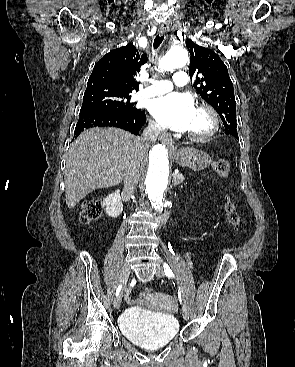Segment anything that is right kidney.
<instances>
[{
    "instance_id": "right-kidney-1",
    "label": "right kidney",
    "mask_w": 295,
    "mask_h": 367,
    "mask_svg": "<svg viewBox=\"0 0 295 367\" xmlns=\"http://www.w3.org/2000/svg\"><path fill=\"white\" fill-rule=\"evenodd\" d=\"M105 207L106 214L109 217L117 218L123 211V205L119 190L109 194L102 202Z\"/></svg>"
}]
</instances>
